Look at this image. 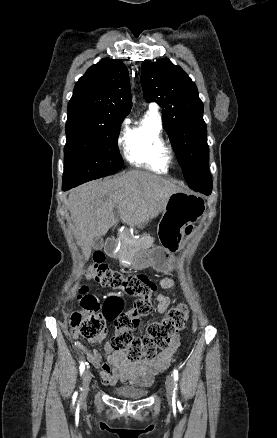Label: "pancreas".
<instances>
[{
    "label": "pancreas",
    "mask_w": 277,
    "mask_h": 438,
    "mask_svg": "<svg viewBox=\"0 0 277 438\" xmlns=\"http://www.w3.org/2000/svg\"><path fill=\"white\" fill-rule=\"evenodd\" d=\"M104 244L111 245L110 253H120L118 256L123 258L119 264L125 267L128 261L124 258L126 256L124 253H144L146 248L151 247L152 242L149 233L145 231H140L138 234L134 231H122L119 235H112L110 239H105Z\"/></svg>",
    "instance_id": "cf45deb5"
}]
</instances>
